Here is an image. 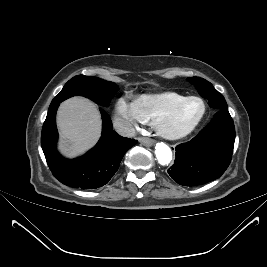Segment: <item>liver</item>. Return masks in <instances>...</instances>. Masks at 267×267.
<instances>
[{
  "label": "liver",
  "instance_id": "6515ba94",
  "mask_svg": "<svg viewBox=\"0 0 267 267\" xmlns=\"http://www.w3.org/2000/svg\"><path fill=\"white\" fill-rule=\"evenodd\" d=\"M60 151L67 157L84 153L98 141L101 117L94 103L83 97H72L61 103L57 112Z\"/></svg>",
  "mask_w": 267,
  "mask_h": 267
}]
</instances>
